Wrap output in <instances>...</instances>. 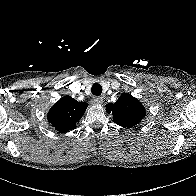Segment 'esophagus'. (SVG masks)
<instances>
[{
  "label": "esophagus",
  "instance_id": "34e87169",
  "mask_svg": "<svg viewBox=\"0 0 196 196\" xmlns=\"http://www.w3.org/2000/svg\"><path fill=\"white\" fill-rule=\"evenodd\" d=\"M102 102H103L102 97L96 96V97H93V99H92V103H93L94 105L102 104Z\"/></svg>",
  "mask_w": 196,
  "mask_h": 196
}]
</instances>
